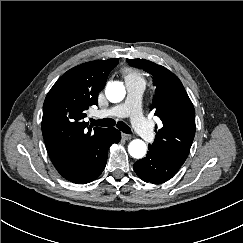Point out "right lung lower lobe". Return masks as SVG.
Returning a JSON list of instances; mask_svg holds the SVG:
<instances>
[{
    "instance_id": "98d812e1",
    "label": "right lung lower lobe",
    "mask_w": 243,
    "mask_h": 243,
    "mask_svg": "<svg viewBox=\"0 0 243 243\" xmlns=\"http://www.w3.org/2000/svg\"><path fill=\"white\" fill-rule=\"evenodd\" d=\"M121 139L120 132L115 128H107L100 142L81 157L66 156L51 158L57 171L67 180L85 184L96 179L104 170L108 149Z\"/></svg>"
}]
</instances>
